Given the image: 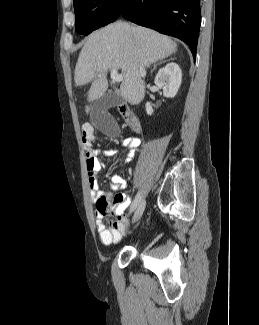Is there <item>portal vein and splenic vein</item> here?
<instances>
[{"mask_svg":"<svg viewBox=\"0 0 259 325\" xmlns=\"http://www.w3.org/2000/svg\"><path fill=\"white\" fill-rule=\"evenodd\" d=\"M110 75L112 80L115 82H121L123 80V75L118 74L116 69H111Z\"/></svg>","mask_w":259,"mask_h":325,"instance_id":"portal-vein-and-splenic-vein-1","label":"portal vein and splenic vein"}]
</instances>
